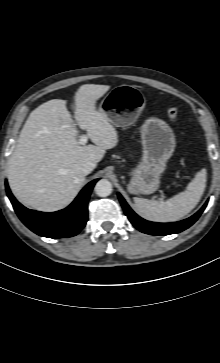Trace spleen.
<instances>
[{"label":"spleen","mask_w":220,"mask_h":363,"mask_svg":"<svg viewBox=\"0 0 220 363\" xmlns=\"http://www.w3.org/2000/svg\"><path fill=\"white\" fill-rule=\"evenodd\" d=\"M206 187V170L199 171L187 189L166 201L134 198L138 213L153 222H176L184 218L199 203Z\"/></svg>","instance_id":"3e777b00"}]
</instances>
